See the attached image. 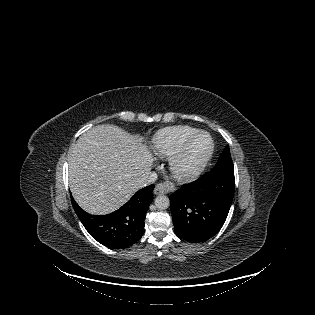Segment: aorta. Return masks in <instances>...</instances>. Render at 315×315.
<instances>
[{
    "label": "aorta",
    "mask_w": 315,
    "mask_h": 315,
    "mask_svg": "<svg viewBox=\"0 0 315 315\" xmlns=\"http://www.w3.org/2000/svg\"><path fill=\"white\" fill-rule=\"evenodd\" d=\"M155 206L159 210H165L170 206V200L166 195H159L155 198Z\"/></svg>",
    "instance_id": "obj_1"
}]
</instances>
